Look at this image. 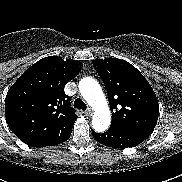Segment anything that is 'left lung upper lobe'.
Returning a JSON list of instances; mask_svg holds the SVG:
<instances>
[{
  "label": "left lung upper lobe",
  "instance_id": "left-lung-upper-lobe-1",
  "mask_svg": "<svg viewBox=\"0 0 182 182\" xmlns=\"http://www.w3.org/2000/svg\"><path fill=\"white\" fill-rule=\"evenodd\" d=\"M93 66L103 80L112 113L110 126L150 135L159 115L157 97L145 79L130 63L117 59H95Z\"/></svg>",
  "mask_w": 182,
  "mask_h": 182
}]
</instances>
